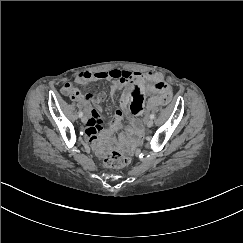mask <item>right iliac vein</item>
<instances>
[{"instance_id":"right-iliac-vein-1","label":"right iliac vein","mask_w":243,"mask_h":243,"mask_svg":"<svg viewBox=\"0 0 243 243\" xmlns=\"http://www.w3.org/2000/svg\"><path fill=\"white\" fill-rule=\"evenodd\" d=\"M81 121H82L83 123H86L87 118H86L85 116H83V117L81 118Z\"/></svg>"}]
</instances>
